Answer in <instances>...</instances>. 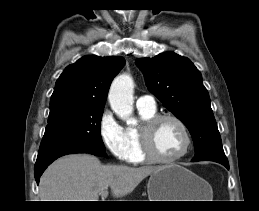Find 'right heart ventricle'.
<instances>
[{"label": "right heart ventricle", "instance_id": "right-heart-ventricle-1", "mask_svg": "<svg viewBox=\"0 0 259 211\" xmlns=\"http://www.w3.org/2000/svg\"><path fill=\"white\" fill-rule=\"evenodd\" d=\"M142 120L148 119L156 115V109L150 110L145 108H138ZM126 150L125 160L132 164H144L148 161L144 157L139 138V127L128 126L124 129Z\"/></svg>", "mask_w": 259, "mask_h": 211}]
</instances>
